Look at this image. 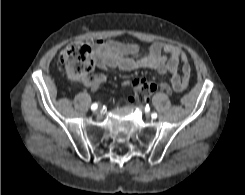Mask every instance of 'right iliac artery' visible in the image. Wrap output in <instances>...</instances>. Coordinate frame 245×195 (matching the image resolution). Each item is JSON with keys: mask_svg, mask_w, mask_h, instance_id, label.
<instances>
[{"mask_svg": "<svg viewBox=\"0 0 245 195\" xmlns=\"http://www.w3.org/2000/svg\"><path fill=\"white\" fill-rule=\"evenodd\" d=\"M97 107H98V105H97L96 103H94V104H92L91 109H92V110H96Z\"/></svg>", "mask_w": 245, "mask_h": 195, "instance_id": "right-iliac-artery-1", "label": "right iliac artery"}]
</instances>
